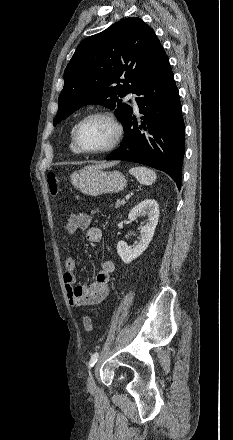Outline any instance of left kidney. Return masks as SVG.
Wrapping results in <instances>:
<instances>
[{"instance_id": "left-kidney-1", "label": "left kidney", "mask_w": 233, "mask_h": 440, "mask_svg": "<svg viewBox=\"0 0 233 440\" xmlns=\"http://www.w3.org/2000/svg\"><path fill=\"white\" fill-rule=\"evenodd\" d=\"M139 216H147L148 220L140 230V240L135 246H128L125 241L117 244V253L126 264L138 258L151 242L159 219V205L154 199H146L136 205L129 213L128 218L134 221Z\"/></svg>"}]
</instances>
